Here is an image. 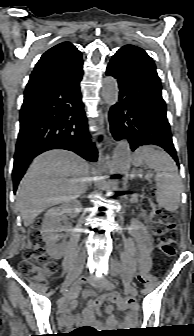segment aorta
Returning <instances> with one entry per match:
<instances>
[{"label":"aorta","instance_id":"1","mask_svg":"<svg viewBox=\"0 0 194 336\" xmlns=\"http://www.w3.org/2000/svg\"><path fill=\"white\" fill-rule=\"evenodd\" d=\"M102 96L109 106L117 103L119 89L117 81L113 77H106L103 80ZM130 145L127 140H121L117 143L109 165V171L112 175L123 174L129 165Z\"/></svg>","mask_w":194,"mask_h":336}]
</instances>
